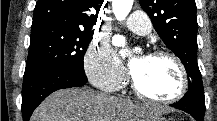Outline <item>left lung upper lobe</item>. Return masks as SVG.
<instances>
[{
	"mask_svg": "<svg viewBox=\"0 0 217 121\" xmlns=\"http://www.w3.org/2000/svg\"><path fill=\"white\" fill-rule=\"evenodd\" d=\"M156 32L182 61L188 74L189 89L205 106L204 89L197 63V18L195 0H139Z\"/></svg>",
	"mask_w": 217,
	"mask_h": 121,
	"instance_id": "5c2ea615",
	"label": "left lung upper lobe"
}]
</instances>
